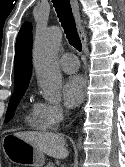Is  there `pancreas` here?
<instances>
[{"mask_svg": "<svg viewBox=\"0 0 125 167\" xmlns=\"http://www.w3.org/2000/svg\"><path fill=\"white\" fill-rule=\"evenodd\" d=\"M45 167H54V165L51 162H49Z\"/></svg>", "mask_w": 125, "mask_h": 167, "instance_id": "1", "label": "pancreas"}]
</instances>
